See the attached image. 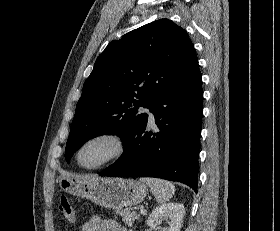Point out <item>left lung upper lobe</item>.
Segmentation results:
<instances>
[{"label":"left lung upper lobe","instance_id":"1","mask_svg":"<svg viewBox=\"0 0 280 231\" xmlns=\"http://www.w3.org/2000/svg\"><path fill=\"white\" fill-rule=\"evenodd\" d=\"M199 69L186 31L160 19L112 41L97 58L84 83L66 144L65 158L86 141L103 134L121 141L167 90Z\"/></svg>","mask_w":280,"mask_h":231}]
</instances>
